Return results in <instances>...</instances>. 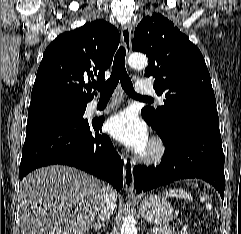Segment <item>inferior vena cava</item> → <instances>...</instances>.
I'll return each instance as SVG.
<instances>
[{
    "instance_id": "602c4592",
    "label": "inferior vena cava",
    "mask_w": 241,
    "mask_h": 234,
    "mask_svg": "<svg viewBox=\"0 0 241 234\" xmlns=\"http://www.w3.org/2000/svg\"><path fill=\"white\" fill-rule=\"evenodd\" d=\"M101 203L98 209L99 218L104 221L110 219V215L113 213L116 206V195L113 189L107 185L102 184L101 187Z\"/></svg>"
}]
</instances>
